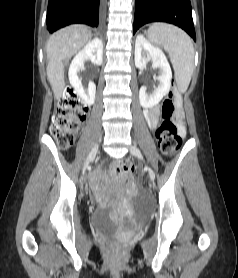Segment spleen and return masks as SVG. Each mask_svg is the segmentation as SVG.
<instances>
[{
    "mask_svg": "<svg viewBox=\"0 0 238 278\" xmlns=\"http://www.w3.org/2000/svg\"><path fill=\"white\" fill-rule=\"evenodd\" d=\"M148 41L161 46L169 54L180 92L184 93L194 70V48L191 38L178 27L166 23H154L147 31Z\"/></svg>",
    "mask_w": 238,
    "mask_h": 278,
    "instance_id": "1",
    "label": "spleen"
}]
</instances>
